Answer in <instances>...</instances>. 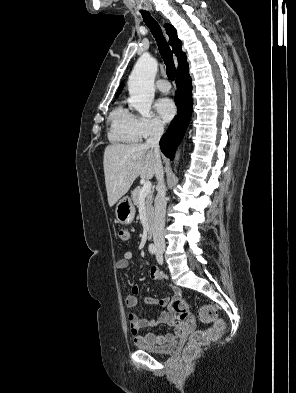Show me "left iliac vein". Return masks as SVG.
Masks as SVG:
<instances>
[{"label": "left iliac vein", "mask_w": 296, "mask_h": 393, "mask_svg": "<svg viewBox=\"0 0 296 393\" xmlns=\"http://www.w3.org/2000/svg\"><path fill=\"white\" fill-rule=\"evenodd\" d=\"M156 259H157L159 264L163 263V255L159 251H157V253H156Z\"/></svg>", "instance_id": "obj_1"}]
</instances>
